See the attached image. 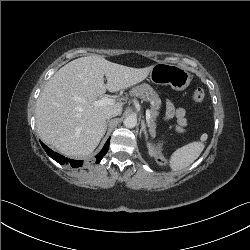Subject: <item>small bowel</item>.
Masks as SVG:
<instances>
[{"instance_id":"c3829d8e","label":"small bowel","mask_w":250,"mask_h":250,"mask_svg":"<svg viewBox=\"0 0 250 250\" xmlns=\"http://www.w3.org/2000/svg\"><path fill=\"white\" fill-rule=\"evenodd\" d=\"M166 118L176 120V129L178 132H184L186 130L188 120L184 108H177L171 101H168L166 106Z\"/></svg>"}]
</instances>
